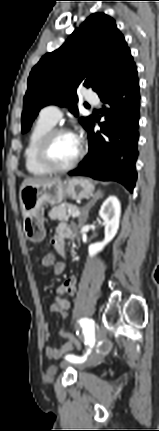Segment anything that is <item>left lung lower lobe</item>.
Instances as JSON below:
<instances>
[{"instance_id": "obj_1", "label": "left lung lower lobe", "mask_w": 159, "mask_h": 431, "mask_svg": "<svg viewBox=\"0 0 159 431\" xmlns=\"http://www.w3.org/2000/svg\"><path fill=\"white\" fill-rule=\"evenodd\" d=\"M106 105L101 109L105 121L101 130L89 124V152L69 175H83L103 181H117L133 191L137 173L139 127V79L133 62L118 79L99 95Z\"/></svg>"}]
</instances>
